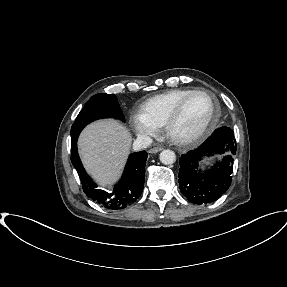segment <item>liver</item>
I'll list each match as a JSON object with an SVG mask.
<instances>
[{"mask_svg":"<svg viewBox=\"0 0 287 287\" xmlns=\"http://www.w3.org/2000/svg\"><path fill=\"white\" fill-rule=\"evenodd\" d=\"M131 143L129 130L112 119L88 125L78 139L85 169L102 186H110L121 176Z\"/></svg>","mask_w":287,"mask_h":287,"instance_id":"liver-1","label":"liver"}]
</instances>
